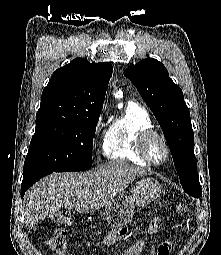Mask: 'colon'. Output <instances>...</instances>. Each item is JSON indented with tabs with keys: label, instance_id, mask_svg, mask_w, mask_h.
<instances>
[{
	"label": "colon",
	"instance_id": "5ec220e1",
	"mask_svg": "<svg viewBox=\"0 0 221 255\" xmlns=\"http://www.w3.org/2000/svg\"><path fill=\"white\" fill-rule=\"evenodd\" d=\"M189 212V206L185 202H178L175 206V213L179 216H186ZM52 222L57 225L54 228L48 225L45 228L47 235L46 244L55 255H67L68 240L66 229L74 223L72 214L68 211H59L52 217ZM165 218L159 217L154 219L148 226V232L156 233L164 224Z\"/></svg>",
	"mask_w": 221,
	"mask_h": 255
}]
</instances>
